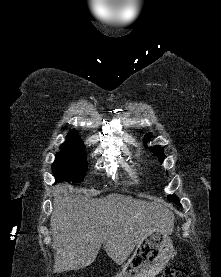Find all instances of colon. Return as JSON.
<instances>
[{"label":"colon","mask_w":221,"mask_h":277,"mask_svg":"<svg viewBox=\"0 0 221 277\" xmlns=\"http://www.w3.org/2000/svg\"><path fill=\"white\" fill-rule=\"evenodd\" d=\"M187 269L179 266L168 267L161 277H188Z\"/></svg>","instance_id":"5ec220e1"}]
</instances>
